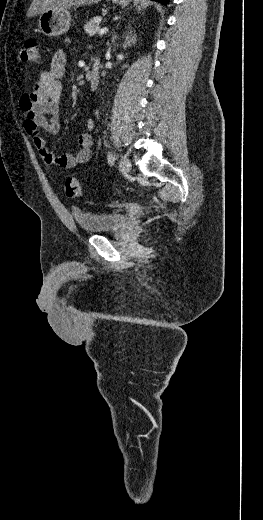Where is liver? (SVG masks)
Listing matches in <instances>:
<instances>
[{"mask_svg":"<svg viewBox=\"0 0 263 520\" xmlns=\"http://www.w3.org/2000/svg\"><path fill=\"white\" fill-rule=\"evenodd\" d=\"M100 1L101 0H33L27 11V17H34L52 8L69 9L71 7L97 4Z\"/></svg>","mask_w":263,"mask_h":520,"instance_id":"1","label":"liver"}]
</instances>
